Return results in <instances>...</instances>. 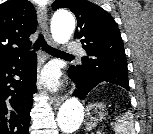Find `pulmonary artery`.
I'll return each instance as SVG.
<instances>
[{
    "instance_id": "1",
    "label": "pulmonary artery",
    "mask_w": 153,
    "mask_h": 134,
    "mask_svg": "<svg viewBox=\"0 0 153 134\" xmlns=\"http://www.w3.org/2000/svg\"><path fill=\"white\" fill-rule=\"evenodd\" d=\"M66 52L68 54H82L83 53V49L76 42H70L67 45Z\"/></svg>"
}]
</instances>
